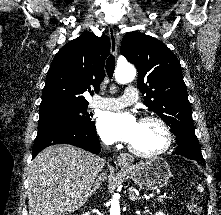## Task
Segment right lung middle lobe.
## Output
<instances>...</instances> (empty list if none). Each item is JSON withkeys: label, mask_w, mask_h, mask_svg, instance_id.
<instances>
[{"label": "right lung middle lobe", "mask_w": 221, "mask_h": 215, "mask_svg": "<svg viewBox=\"0 0 221 215\" xmlns=\"http://www.w3.org/2000/svg\"><path fill=\"white\" fill-rule=\"evenodd\" d=\"M89 117L90 114H87V106L73 110L42 115L38 121V132L62 126H86L92 123Z\"/></svg>", "instance_id": "1"}]
</instances>
